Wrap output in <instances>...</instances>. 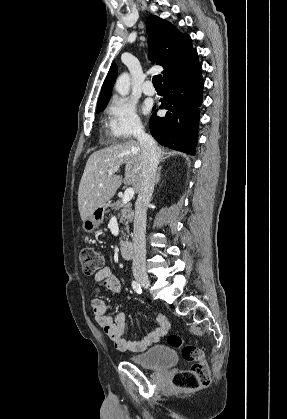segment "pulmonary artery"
<instances>
[{"mask_svg": "<svg viewBox=\"0 0 287 419\" xmlns=\"http://www.w3.org/2000/svg\"><path fill=\"white\" fill-rule=\"evenodd\" d=\"M142 90L144 94L148 96H153L155 94V89L153 88L151 81H145L142 86Z\"/></svg>", "mask_w": 287, "mask_h": 419, "instance_id": "obj_1", "label": "pulmonary artery"}]
</instances>
